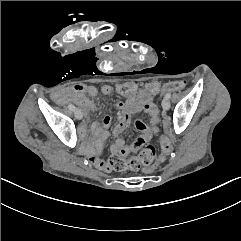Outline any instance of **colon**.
<instances>
[{"instance_id":"obj_1","label":"colon","mask_w":241,"mask_h":241,"mask_svg":"<svg viewBox=\"0 0 241 241\" xmlns=\"http://www.w3.org/2000/svg\"><path fill=\"white\" fill-rule=\"evenodd\" d=\"M187 82L184 79H179L177 81H169L163 84L162 90L160 91V94H158V98L162 99L163 98V93L165 91H170L172 93H178L186 87ZM160 87V84L158 82H140L138 80H135L130 84L128 80H125L123 84H120L118 87V90L120 93H123L125 97H130L132 94L135 93V91L142 90L144 92H149V93H156L157 89ZM163 146L162 150L164 151L163 154L161 155L163 158L166 156V154L171 151L172 145L169 142H166L167 140L164 138L163 140ZM159 157L156 149L154 146L148 144L145 145L140 152L130 158V159H123L118 156H113L109 160V166L115 170H124V169H132L136 170L139 169L142 166L144 167L143 170V175L144 176H149L150 173L154 170H156L157 166L158 167H164L165 166V161L164 160H156L155 158Z\"/></svg>"}]
</instances>
